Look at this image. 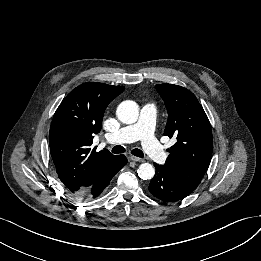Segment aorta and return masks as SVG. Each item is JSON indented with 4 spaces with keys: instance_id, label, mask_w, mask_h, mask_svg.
Returning a JSON list of instances; mask_svg holds the SVG:
<instances>
[{
    "instance_id": "obj_1",
    "label": "aorta",
    "mask_w": 261,
    "mask_h": 261,
    "mask_svg": "<svg viewBox=\"0 0 261 261\" xmlns=\"http://www.w3.org/2000/svg\"><path fill=\"white\" fill-rule=\"evenodd\" d=\"M116 115L124 124L135 123L139 116V107L134 101H123L117 107ZM138 175L143 180H148L154 177L155 169L150 163H143L138 168Z\"/></svg>"
}]
</instances>
